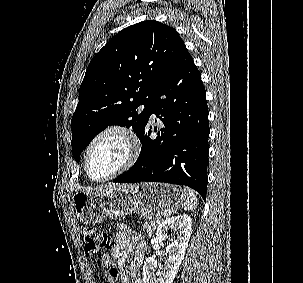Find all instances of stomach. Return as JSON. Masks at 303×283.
I'll return each instance as SVG.
<instances>
[{
  "label": "stomach",
  "instance_id": "stomach-1",
  "mask_svg": "<svg viewBox=\"0 0 303 283\" xmlns=\"http://www.w3.org/2000/svg\"><path fill=\"white\" fill-rule=\"evenodd\" d=\"M181 188L170 184L119 185L101 192H77L72 204L84 224H98L107 217L124 218L138 212L147 219H161L176 212L184 200Z\"/></svg>",
  "mask_w": 303,
  "mask_h": 283
}]
</instances>
